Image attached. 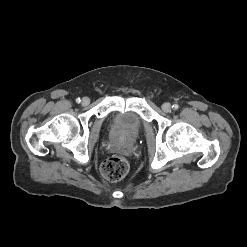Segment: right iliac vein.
Here are the masks:
<instances>
[{
    "label": "right iliac vein",
    "mask_w": 247,
    "mask_h": 247,
    "mask_svg": "<svg viewBox=\"0 0 247 247\" xmlns=\"http://www.w3.org/2000/svg\"><path fill=\"white\" fill-rule=\"evenodd\" d=\"M90 103V99L88 97H84L81 101L83 106H87Z\"/></svg>",
    "instance_id": "obj_1"
}]
</instances>
